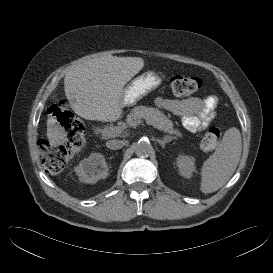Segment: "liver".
<instances>
[{"instance_id": "obj_1", "label": "liver", "mask_w": 273, "mask_h": 273, "mask_svg": "<svg viewBox=\"0 0 273 273\" xmlns=\"http://www.w3.org/2000/svg\"><path fill=\"white\" fill-rule=\"evenodd\" d=\"M140 57L102 56L70 68L64 77V90L75 113L87 120H118L123 113L124 86L143 68ZM52 115L47 120V138L57 147L66 137Z\"/></svg>"}]
</instances>
